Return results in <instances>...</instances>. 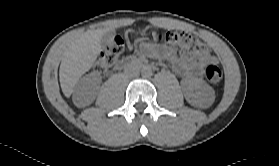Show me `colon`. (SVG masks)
<instances>
[{"mask_svg":"<svg viewBox=\"0 0 279 166\" xmlns=\"http://www.w3.org/2000/svg\"><path fill=\"white\" fill-rule=\"evenodd\" d=\"M151 36L153 40L164 43L181 53L202 55L206 52L204 43L187 32H153ZM123 50V40L121 38H116L101 51L95 69L100 73L108 71L116 64ZM205 77L210 83L218 84L223 78V70L219 65L211 63L205 69Z\"/></svg>","mask_w":279,"mask_h":166,"instance_id":"5ec220e1","label":"colon"}]
</instances>
